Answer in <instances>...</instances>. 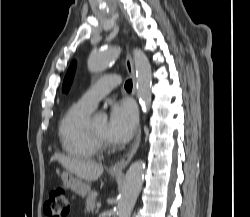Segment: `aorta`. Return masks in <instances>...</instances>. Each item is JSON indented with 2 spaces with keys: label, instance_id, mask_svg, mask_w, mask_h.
Wrapping results in <instances>:
<instances>
[{
  "label": "aorta",
  "instance_id": "1",
  "mask_svg": "<svg viewBox=\"0 0 250 217\" xmlns=\"http://www.w3.org/2000/svg\"><path fill=\"white\" fill-rule=\"evenodd\" d=\"M120 51L117 47H107L93 52L88 59V68L97 73L105 70L115 61ZM136 71V89L142 109L146 112L151 105L152 70L150 62L143 51L133 50ZM145 164L143 161L134 162L125 175L122 191L117 204L118 217H130L135 202L143 184Z\"/></svg>",
  "mask_w": 250,
  "mask_h": 217
}]
</instances>
